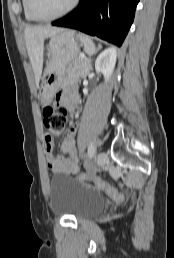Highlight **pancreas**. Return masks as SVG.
Wrapping results in <instances>:
<instances>
[{
	"instance_id": "1",
	"label": "pancreas",
	"mask_w": 174,
	"mask_h": 258,
	"mask_svg": "<svg viewBox=\"0 0 174 258\" xmlns=\"http://www.w3.org/2000/svg\"><path fill=\"white\" fill-rule=\"evenodd\" d=\"M91 68L90 61L87 58L77 57L68 65L67 76L71 79L84 77Z\"/></svg>"
}]
</instances>
